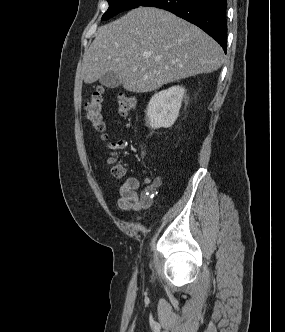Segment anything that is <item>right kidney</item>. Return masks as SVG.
I'll return each mask as SVG.
<instances>
[{
    "label": "right kidney",
    "mask_w": 285,
    "mask_h": 332,
    "mask_svg": "<svg viewBox=\"0 0 285 332\" xmlns=\"http://www.w3.org/2000/svg\"><path fill=\"white\" fill-rule=\"evenodd\" d=\"M185 89L173 86L156 93L149 101L146 116L151 128H169L179 116Z\"/></svg>",
    "instance_id": "1"
}]
</instances>
